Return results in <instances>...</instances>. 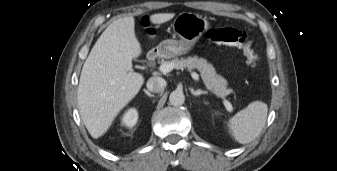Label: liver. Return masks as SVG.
<instances>
[{"instance_id": "obj_1", "label": "liver", "mask_w": 337, "mask_h": 171, "mask_svg": "<svg viewBox=\"0 0 337 171\" xmlns=\"http://www.w3.org/2000/svg\"><path fill=\"white\" fill-rule=\"evenodd\" d=\"M174 16V13H158L149 19L162 24ZM134 25L133 16L112 22L83 65L77 91L78 107L85 127L95 139L109 129L144 83V77L132 69V60L142 52Z\"/></svg>"}]
</instances>
